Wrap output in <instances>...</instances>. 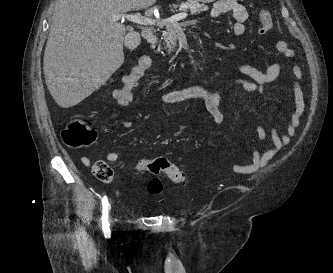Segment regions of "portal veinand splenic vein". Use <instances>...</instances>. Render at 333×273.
<instances>
[{"label": "portal vein and splenic vein", "instance_id": "portal-vein-and-splenic-vein-1", "mask_svg": "<svg viewBox=\"0 0 333 273\" xmlns=\"http://www.w3.org/2000/svg\"><path fill=\"white\" fill-rule=\"evenodd\" d=\"M187 17V13L183 12V13H179L176 14L168 19H166L165 21L162 20H157V19H152L150 17H145L142 16L140 13H136V14H127V15H121V16H116L114 17V20H127L129 22H133V23H137L140 25H157V26H164L166 25V22H170V23H174L180 20H183Z\"/></svg>", "mask_w": 333, "mask_h": 273}]
</instances>
